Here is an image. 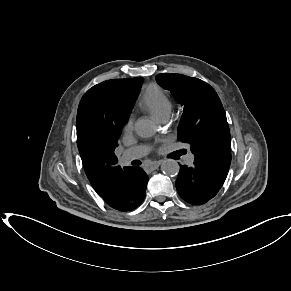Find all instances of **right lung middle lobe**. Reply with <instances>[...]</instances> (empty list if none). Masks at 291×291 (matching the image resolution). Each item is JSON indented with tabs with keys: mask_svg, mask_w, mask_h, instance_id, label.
Here are the masks:
<instances>
[{
	"mask_svg": "<svg viewBox=\"0 0 291 291\" xmlns=\"http://www.w3.org/2000/svg\"><path fill=\"white\" fill-rule=\"evenodd\" d=\"M141 83L142 78H139L134 84L136 93H138ZM133 105V103H126L115 96H109L106 98L103 111L101 112V118L103 120L104 131L112 142L118 143L122 126L127 120Z\"/></svg>",
	"mask_w": 291,
	"mask_h": 291,
	"instance_id": "obj_1",
	"label": "right lung middle lobe"
}]
</instances>
